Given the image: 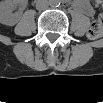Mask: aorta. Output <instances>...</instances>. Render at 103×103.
I'll return each instance as SVG.
<instances>
[{
    "label": "aorta",
    "instance_id": "762f6f07",
    "mask_svg": "<svg viewBox=\"0 0 103 103\" xmlns=\"http://www.w3.org/2000/svg\"><path fill=\"white\" fill-rule=\"evenodd\" d=\"M51 5H52V6H57V5H58V2H56V1L51 2Z\"/></svg>",
    "mask_w": 103,
    "mask_h": 103
}]
</instances>
